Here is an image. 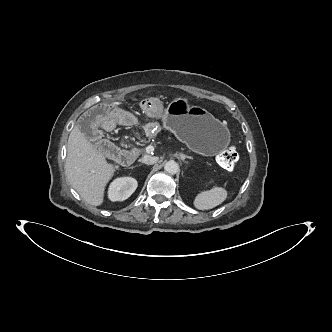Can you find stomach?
I'll return each mask as SVG.
<instances>
[{
    "instance_id": "0dacf381",
    "label": "stomach",
    "mask_w": 332,
    "mask_h": 332,
    "mask_svg": "<svg viewBox=\"0 0 332 332\" xmlns=\"http://www.w3.org/2000/svg\"><path fill=\"white\" fill-rule=\"evenodd\" d=\"M164 127L191 150L205 155H215L230 143L227 126L206 109L191 106L183 98H177L168 105Z\"/></svg>"
}]
</instances>
